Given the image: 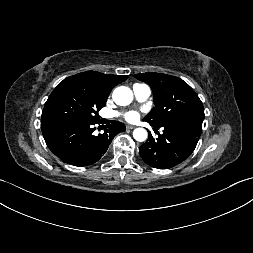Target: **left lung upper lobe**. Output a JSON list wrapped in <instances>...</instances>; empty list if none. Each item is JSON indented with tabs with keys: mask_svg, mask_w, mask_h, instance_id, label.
<instances>
[{
	"mask_svg": "<svg viewBox=\"0 0 253 253\" xmlns=\"http://www.w3.org/2000/svg\"><path fill=\"white\" fill-rule=\"evenodd\" d=\"M135 78L150 85L155 107L144 121L155 126L203 121L204 107L195 91L182 79L161 73H142Z\"/></svg>",
	"mask_w": 253,
	"mask_h": 253,
	"instance_id": "1",
	"label": "left lung upper lobe"
}]
</instances>
